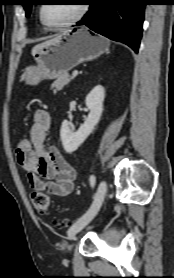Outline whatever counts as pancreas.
Returning <instances> with one entry per match:
<instances>
[{
  "instance_id": "cf45deb5",
  "label": "pancreas",
  "mask_w": 174,
  "mask_h": 278,
  "mask_svg": "<svg viewBox=\"0 0 174 278\" xmlns=\"http://www.w3.org/2000/svg\"><path fill=\"white\" fill-rule=\"evenodd\" d=\"M73 77H71L68 73H65L58 77L51 85V89H53L55 92L60 91L64 88L65 85H67Z\"/></svg>"
}]
</instances>
